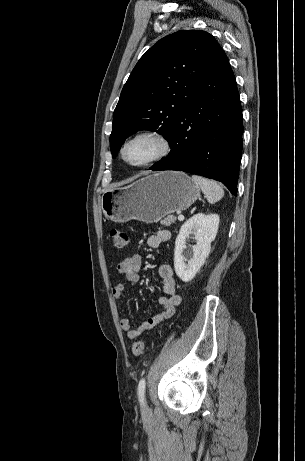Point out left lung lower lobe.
<instances>
[{
	"label": "left lung lower lobe",
	"mask_w": 305,
	"mask_h": 461,
	"mask_svg": "<svg viewBox=\"0 0 305 461\" xmlns=\"http://www.w3.org/2000/svg\"><path fill=\"white\" fill-rule=\"evenodd\" d=\"M177 118L167 157L149 169L179 170L222 182L237 196L242 152V108L224 51L194 87Z\"/></svg>",
	"instance_id": "obj_1"
}]
</instances>
